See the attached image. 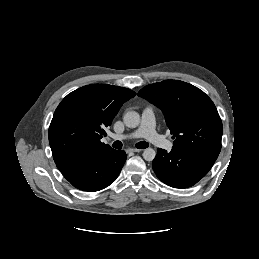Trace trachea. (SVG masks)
Listing matches in <instances>:
<instances>
[{
  "instance_id": "1",
  "label": "trachea",
  "mask_w": 259,
  "mask_h": 259,
  "mask_svg": "<svg viewBox=\"0 0 259 259\" xmlns=\"http://www.w3.org/2000/svg\"><path fill=\"white\" fill-rule=\"evenodd\" d=\"M122 146H123V144H122L121 141H115V142H113V144H112V147H114L115 149H121ZM148 146H149V144H148L147 142H145V141H140V142H138V143L136 144V147H137L138 149H145V148H147Z\"/></svg>"
}]
</instances>
